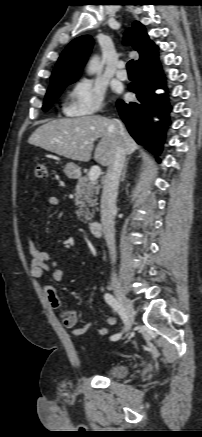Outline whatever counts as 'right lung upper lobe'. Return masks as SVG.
I'll return each instance as SVG.
<instances>
[{
	"label": "right lung upper lobe",
	"instance_id": "1",
	"mask_svg": "<svg viewBox=\"0 0 202 437\" xmlns=\"http://www.w3.org/2000/svg\"><path fill=\"white\" fill-rule=\"evenodd\" d=\"M126 44H131L138 51L140 58L135 65L148 62L158 55V47L149 39L145 27L135 21L124 34ZM94 41L90 35H83L74 39L62 52L53 70L50 85L76 78L78 72L86 63Z\"/></svg>",
	"mask_w": 202,
	"mask_h": 437
}]
</instances>
